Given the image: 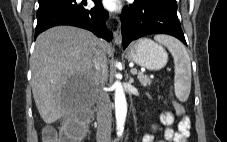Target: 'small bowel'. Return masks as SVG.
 <instances>
[{
  "label": "small bowel",
  "instance_id": "obj_1",
  "mask_svg": "<svg viewBox=\"0 0 227 142\" xmlns=\"http://www.w3.org/2000/svg\"><path fill=\"white\" fill-rule=\"evenodd\" d=\"M160 122L166 126L164 131L163 140L156 142H187L190 135V120L184 115L178 124V130L175 131L171 125L174 122V115L171 112H166L160 115ZM142 142H154V137L151 134H145Z\"/></svg>",
  "mask_w": 227,
  "mask_h": 142
}]
</instances>
